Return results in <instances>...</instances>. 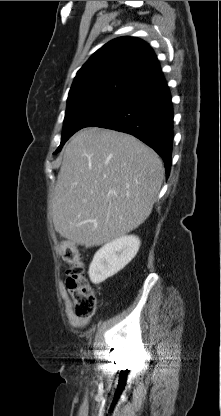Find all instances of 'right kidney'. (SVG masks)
<instances>
[{
    "label": "right kidney",
    "instance_id": "obj_1",
    "mask_svg": "<svg viewBox=\"0 0 221 416\" xmlns=\"http://www.w3.org/2000/svg\"><path fill=\"white\" fill-rule=\"evenodd\" d=\"M140 240L134 235L119 237L101 247L89 267L92 283L99 284L123 269L137 254Z\"/></svg>",
    "mask_w": 221,
    "mask_h": 416
}]
</instances>
